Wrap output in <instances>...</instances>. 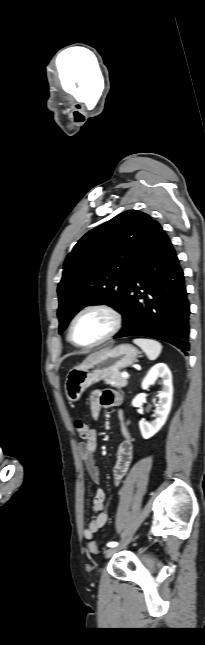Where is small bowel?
Returning <instances> with one entry per match:
<instances>
[{
	"label": "small bowel",
	"instance_id": "c3829d8e",
	"mask_svg": "<svg viewBox=\"0 0 205 645\" xmlns=\"http://www.w3.org/2000/svg\"><path fill=\"white\" fill-rule=\"evenodd\" d=\"M121 403L122 397L116 391L96 390L90 397L91 415L94 419H97L103 408L116 407ZM119 418L121 421L124 441L118 447L117 459L113 471L116 484H118L126 475L133 459V439L122 411L119 412ZM97 443V432L96 430L91 429L90 437L85 442H81L77 445L78 454L83 461L90 478L95 483H98L100 480V471L94 458ZM105 498V491L101 487H96L93 496V516L83 530V536L85 539H92L94 534L107 523L108 514L105 506Z\"/></svg>",
	"mask_w": 205,
	"mask_h": 645
}]
</instances>
